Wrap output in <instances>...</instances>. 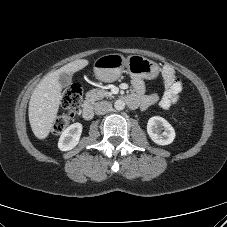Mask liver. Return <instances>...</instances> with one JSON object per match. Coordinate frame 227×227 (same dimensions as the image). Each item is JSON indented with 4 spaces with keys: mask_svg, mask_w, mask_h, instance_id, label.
<instances>
[{
    "mask_svg": "<svg viewBox=\"0 0 227 227\" xmlns=\"http://www.w3.org/2000/svg\"><path fill=\"white\" fill-rule=\"evenodd\" d=\"M88 64L86 59L70 62L44 76L35 88L30 98L28 115L31 129L38 139H45L49 135L58 113L62 91L59 75L75 73Z\"/></svg>",
    "mask_w": 227,
    "mask_h": 227,
    "instance_id": "6515ba94",
    "label": "liver"
}]
</instances>
